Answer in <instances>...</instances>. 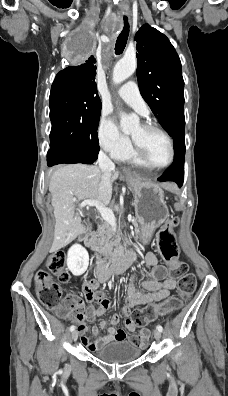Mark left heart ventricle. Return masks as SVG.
I'll return each mask as SVG.
<instances>
[{
    "label": "left heart ventricle",
    "mask_w": 228,
    "mask_h": 396,
    "mask_svg": "<svg viewBox=\"0 0 228 396\" xmlns=\"http://www.w3.org/2000/svg\"><path fill=\"white\" fill-rule=\"evenodd\" d=\"M132 139L141 147L146 158L153 165H163L170 158L168 140L159 132L136 125L130 132Z\"/></svg>",
    "instance_id": "b2bd125f"
}]
</instances>
